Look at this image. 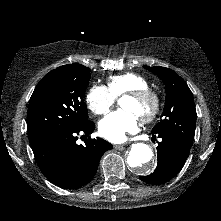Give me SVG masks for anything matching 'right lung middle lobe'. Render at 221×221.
<instances>
[{
	"label": "right lung middle lobe",
	"mask_w": 221,
	"mask_h": 221,
	"mask_svg": "<svg viewBox=\"0 0 221 221\" xmlns=\"http://www.w3.org/2000/svg\"><path fill=\"white\" fill-rule=\"evenodd\" d=\"M90 69L74 63L47 73L36 86L28 106L30 143L53 132L76 129L88 121L83 100Z\"/></svg>",
	"instance_id": "right-lung-middle-lobe-1"
}]
</instances>
